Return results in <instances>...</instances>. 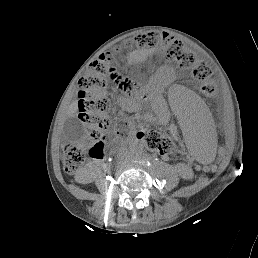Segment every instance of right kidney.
Here are the masks:
<instances>
[{"mask_svg":"<svg viewBox=\"0 0 258 258\" xmlns=\"http://www.w3.org/2000/svg\"><path fill=\"white\" fill-rule=\"evenodd\" d=\"M95 178V174L89 171L88 167L82 168L76 175V181L82 184L91 183Z\"/></svg>","mask_w":258,"mask_h":258,"instance_id":"obj_1","label":"right kidney"}]
</instances>
